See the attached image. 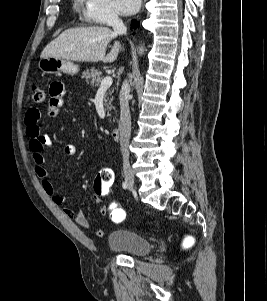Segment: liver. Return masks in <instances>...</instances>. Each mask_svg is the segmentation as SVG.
Instances as JSON below:
<instances>
[{
    "mask_svg": "<svg viewBox=\"0 0 267 301\" xmlns=\"http://www.w3.org/2000/svg\"><path fill=\"white\" fill-rule=\"evenodd\" d=\"M117 37V33L108 27L73 28L62 32L42 51L41 59L54 57L77 62L111 63L122 50L119 41H115L106 55L108 43Z\"/></svg>",
    "mask_w": 267,
    "mask_h": 301,
    "instance_id": "6515ba94",
    "label": "liver"
}]
</instances>
